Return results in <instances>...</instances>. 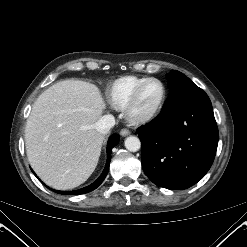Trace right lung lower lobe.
<instances>
[{"label": "right lung lower lobe", "mask_w": 247, "mask_h": 247, "mask_svg": "<svg viewBox=\"0 0 247 247\" xmlns=\"http://www.w3.org/2000/svg\"><path fill=\"white\" fill-rule=\"evenodd\" d=\"M119 142V135L114 134L110 137L109 141H108V145H107V162H106V166L105 169L103 171V173L101 174V176L91 185L79 189V190H74V191H57V190H53L54 192H57L59 194H63V195H79V194H84V193H88L90 191H93L94 189H96L105 179V177L107 176L108 170H109V164L111 161V150L112 148L117 145Z\"/></svg>", "instance_id": "right-lung-lower-lobe-1"}]
</instances>
